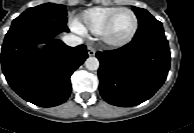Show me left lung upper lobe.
Wrapping results in <instances>:
<instances>
[{
  "label": "left lung upper lobe",
  "mask_w": 194,
  "mask_h": 133,
  "mask_svg": "<svg viewBox=\"0 0 194 133\" xmlns=\"http://www.w3.org/2000/svg\"><path fill=\"white\" fill-rule=\"evenodd\" d=\"M133 11L138 17L139 25L155 20V18L145 9L132 6Z\"/></svg>",
  "instance_id": "1"
}]
</instances>
